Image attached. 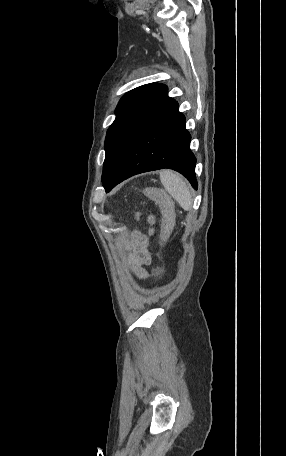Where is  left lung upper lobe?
Wrapping results in <instances>:
<instances>
[{
	"label": "left lung upper lobe",
	"instance_id": "5c2ea615",
	"mask_svg": "<svg viewBox=\"0 0 286 456\" xmlns=\"http://www.w3.org/2000/svg\"><path fill=\"white\" fill-rule=\"evenodd\" d=\"M174 101L168 97L167 86L158 83L137 87L120 99L105 139V190L136 137Z\"/></svg>",
	"mask_w": 286,
	"mask_h": 456
}]
</instances>
